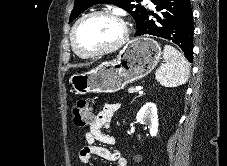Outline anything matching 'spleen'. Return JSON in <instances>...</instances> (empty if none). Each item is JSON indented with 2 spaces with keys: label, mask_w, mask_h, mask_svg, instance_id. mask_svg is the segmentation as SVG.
I'll list each match as a JSON object with an SVG mask.
<instances>
[{
  "label": "spleen",
  "mask_w": 227,
  "mask_h": 166,
  "mask_svg": "<svg viewBox=\"0 0 227 166\" xmlns=\"http://www.w3.org/2000/svg\"><path fill=\"white\" fill-rule=\"evenodd\" d=\"M163 58L165 63L155 73L157 81L165 87L185 84L190 75L189 64L185 56L175 47L165 45Z\"/></svg>",
  "instance_id": "3e777b00"
}]
</instances>
